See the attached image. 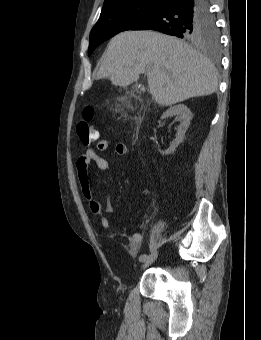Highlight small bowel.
<instances>
[{"label":"small bowel","instance_id":"obj_1","mask_svg":"<svg viewBox=\"0 0 261 340\" xmlns=\"http://www.w3.org/2000/svg\"><path fill=\"white\" fill-rule=\"evenodd\" d=\"M108 146L109 141L107 139H100L97 142V149L99 151L106 150ZM114 151L118 156H124L127 153V147L124 143H117L114 147ZM92 162H94L96 166L102 171H108L110 169V165L105 158L100 156L91 147H87L76 162L77 178L81 193L87 202L89 211L94 215H99L102 213V205L91 188L88 173V168ZM100 223L103 229L111 230L110 222L106 217H102ZM118 235L122 237L126 236L123 232H118ZM128 240L129 249L131 253H134L140 246L143 240V235L140 232H136L128 236Z\"/></svg>","mask_w":261,"mask_h":340}]
</instances>
